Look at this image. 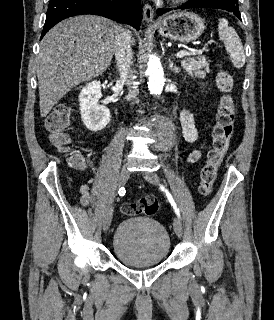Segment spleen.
I'll list each match as a JSON object with an SVG mask.
<instances>
[{"label": "spleen", "mask_w": 274, "mask_h": 320, "mask_svg": "<svg viewBox=\"0 0 274 320\" xmlns=\"http://www.w3.org/2000/svg\"><path fill=\"white\" fill-rule=\"evenodd\" d=\"M218 32L220 40H223L224 46L232 60L235 68H243L245 64V54L243 50V44L237 36L235 30L230 28L225 18H220L218 24Z\"/></svg>", "instance_id": "1"}]
</instances>
